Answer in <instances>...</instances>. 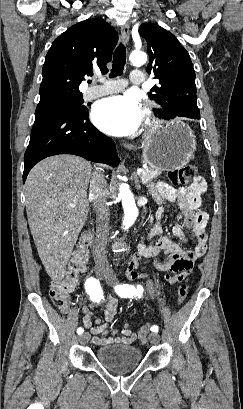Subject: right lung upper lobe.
Returning <instances> with one entry per match:
<instances>
[{"label":"right lung upper lobe","mask_w":243,"mask_h":409,"mask_svg":"<svg viewBox=\"0 0 243 409\" xmlns=\"http://www.w3.org/2000/svg\"><path fill=\"white\" fill-rule=\"evenodd\" d=\"M117 39L115 29L101 18L79 22L57 37L43 65L40 101L82 95L78 87L93 75V67L108 71Z\"/></svg>","instance_id":"obj_1"}]
</instances>
